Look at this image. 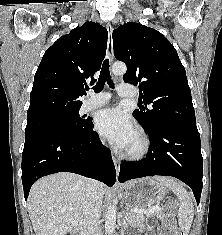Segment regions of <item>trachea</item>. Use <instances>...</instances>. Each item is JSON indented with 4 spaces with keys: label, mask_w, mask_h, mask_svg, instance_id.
Instances as JSON below:
<instances>
[{
    "label": "trachea",
    "mask_w": 222,
    "mask_h": 235,
    "mask_svg": "<svg viewBox=\"0 0 222 235\" xmlns=\"http://www.w3.org/2000/svg\"><path fill=\"white\" fill-rule=\"evenodd\" d=\"M106 82L109 84L110 87L113 88L114 84H113V81L111 80V76H110L109 60L108 59H106L103 62V66H102V69H101V72H100L98 82L93 87L94 92L99 93L103 89Z\"/></svg>",
    "instance_id": "obj_1"
}]
</instances>
